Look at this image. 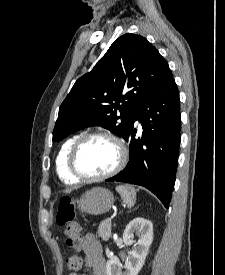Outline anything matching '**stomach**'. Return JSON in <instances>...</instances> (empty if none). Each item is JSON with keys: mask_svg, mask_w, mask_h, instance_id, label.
<instances>
[{"mask_svg": "<svg viewBox=\"0 0 225 275\" xmlns=\"http://www.w3.org/2000/svg\"><path fill=\"white\" fill-rule=\"evenodd\" d=\"M113 202L112 192L101 187L87 191L77 201L79 209L90 215H101L108 212Z\"/></svg>", "mask_w": 225, "mask_h": 275, "instance_id": "stomach-1", "label": "stomach"}]
</instances>
